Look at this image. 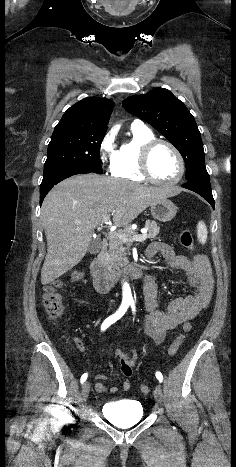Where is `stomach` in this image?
<instances>
[{"label": "stomach", "instance_id": "obj_1", "mask_svg": "<svg viewBox=\"0 0 236 467\" xmlns=\"http://www.w3.org/2000/svg\"><path fill=\"white\" fill-rule=\"evenodd\" d=\"M150 210L154 219L168 222L176 215L177 207L172 201L164 198L151 204Z\"/></svg>", "mask_w": 236, "mask_h": 467}]
</instances>
